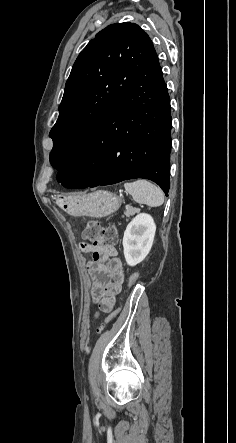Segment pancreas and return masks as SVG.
<instances>
[{
  "instance_id": "obj_1",
  "label": "pancreas",
  "mask_w": 236,
  "mask_h": 443,
  "mask_svg": "<svg viewBox=\"0 0 236 443\" xmlns=\"http://www.w3.org/2000/svg\"><path fill=\"white\" fill-rule=\"evenodd\" d=\"M140 210L138 208H134L131 206H127L126 207V211L124 212V215L129 218L130 216L135 215L136 213H138Z\"/></svg>"
}]
</instances>
